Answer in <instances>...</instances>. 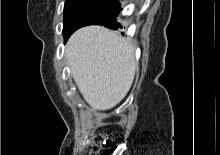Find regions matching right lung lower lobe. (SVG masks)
<instances>
[{
    "instance_id": "1",
    "label": "right lung lower lobe",
    "mask_w": 220,
    "mask_h": 155,
    "mask_svg": "<svg viewBox=\"0 0 220 155\" xmlns=\"http://www.w3.org/2000/svg\"><path fill=\"white\" fill-rule=\"evenodd\" d=\"M121 11L120 5L115 7L112 10H109L94 19H92L90 22H88L86 25H104L111 29H118V27H121L119 23H116V17L118 16L119 12Z\"/></svg>"
}]
</instances>
